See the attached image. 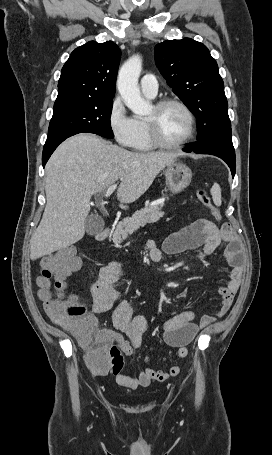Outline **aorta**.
Masks as SVG:
<instances>
[{
  "instance_id": "1",
  "label": "aorta",
  "mask_w": 272,
  "mask_h": 455,
  "mask_svg": "<svg viewBox=\"0 0 272 455\" xmlns=\"http://www.w3.org/2000/svg\"><path fill=\"white\" fill-rule=\"evenodd\" d=\"M142 70L140 55L129 58L120 68L117 79L118 91L125 105L136 115L150 113L152 106L141 97L138 79Z\"/></svg>"
}]
</instances>
